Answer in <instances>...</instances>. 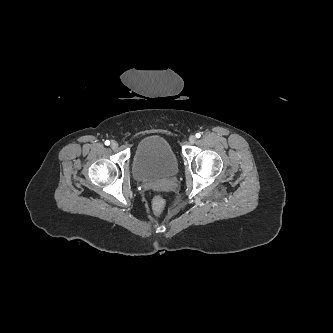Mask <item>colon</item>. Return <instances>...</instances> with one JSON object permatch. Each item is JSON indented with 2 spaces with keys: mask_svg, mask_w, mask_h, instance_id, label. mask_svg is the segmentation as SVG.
I'll return each instance as SVG.
<instances>
[{
  "mask_svg": "<svg viewBox=\"0 0 333 333\" xmlns=\"http://www.w3.org/2000/svg\"><path fill=\"white\" fill-rule=\"evenodd\" d=\"M154 210L156 213L160 214L164 210V201L161 197H156L154 201Z\"/></svg>",
  "mask_w": 333,
  "mask_h": 333,
  "instance_id": "5ec220e1",
  "label": "colon"
}]
</instances>
